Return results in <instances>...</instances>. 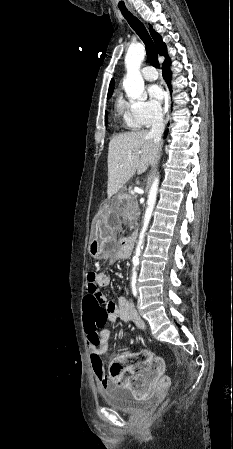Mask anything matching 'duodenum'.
I'll list each match as a JSON object with an SVG mask.
<instances>
[{"mask_svg": "<svg viewBox=\"0 0 233 449\" xmlns=\"http://www.w3.org/2000/svg\"><path fill=\"white\" fill-rule=\"evenodd\" d=\"M136 234L124 240L122 246L126 254H132L135 248Z\"/></svg>", "mask_w": 233, "mask_h": 449, "instance_id": "410a0bca", "label": "duodenum"}]
</instances>
